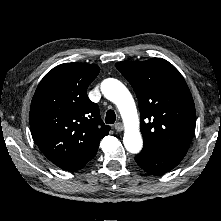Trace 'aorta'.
Wrapping results in <instances>:
<instances>
[{"instance_id": "aorta-1", "label": "aorta", "mask_w": 221, "mask_h": 221, "mask_svg": "<svg viewBox=\"0 0 221 221\" xmlns=\"http://www.w3.org/2000/svg\"><path fill=\"white\" fill-rule=\"evenodd\" d=\"M103 95L118 108L124 124L123 143L130 153H138L142 149L143 139L139 130V117L134 99L126 86L117 79L109 78L102 82Z\"/></svg>"}]
</instances>
